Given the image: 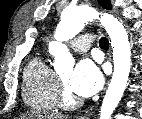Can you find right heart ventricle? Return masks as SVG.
I'll list each match as a JSON object with an SVG mask.
<instances>
[{"mask_svg": "<svg viewBox=\"0 0 142 119\" xmlns=\"http://www.w3.org/2000/svg\"><path fill=\"white\" fill-rule=\"evenodd\" d=\"M58 77L40 56L33 58L23 73L22 95L25 103L36 109L57 107Z\"/></svg>", "mask_w": 142, "mask_h": 119, "instance_id": "1", "label": "right heart ventricle"}]
</instances>
